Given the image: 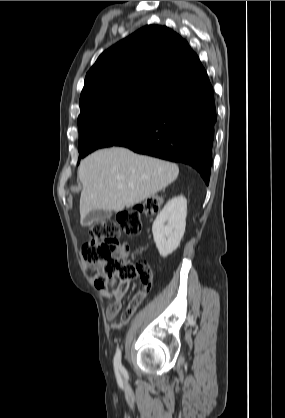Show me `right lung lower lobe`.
<instances>
[{"instance_id": "98d812e1", "label": "right lung lower lobe", "mask_w": 285, "mask_h": 418, "mask_svg": "<svg viewBox=\"0 0 285 418\" xmlns=\"http://www.w3.org/2000/svg\"><path fill=\"white\" fill-rule=\"evenodd\" d=\"M216 121L214 90L207 76L200 86L167 103L148 126L115 146L188 164L208 185Z\"/></svg>"}]
</instances>
